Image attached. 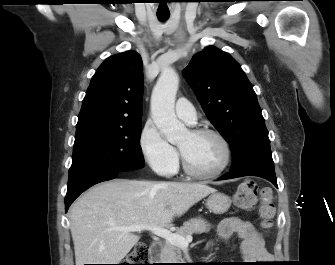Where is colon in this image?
I'll return each mask as SVG.
<instances>
[{
  "label": "colon",
  "instance_id": "5ec220e1",
  "mask_svg": "<svg viewBox=\"0 0 335 265\" xmlns=\"http://www.w3.org/2000/svg\"><path fill=\"white\" fill-rule=\"evenodd\" d=\"M234 200L235 204L244 210L252 209L258 202L257 211L261 227L264 230L271 227L275 206L269 188H259L255 181L245 180L239 185ZM149 257V248L144 244H138L127 256L125 264L121 265H149Z\"/></svg>",
  "mask_w": 335,
  "mask_h": 265
}]
</instances>
